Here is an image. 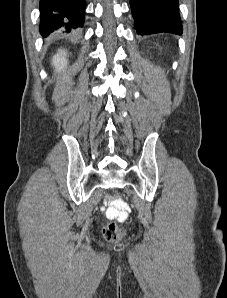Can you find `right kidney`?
Here are the masks:
<instances>
[{
    "label": "right kidney",
    "mask_w": 227,
    "mask_h": 298,
    "mask_svg": "<svg viewBox=\"0 0 227 298\" xmlns=\"http://www.w3.org/2000/svg\"><path fill=\"white\" fill-rule=\"evenodd\" d=\"M67 64L68 59L66 50H59L52 59V65L54 66L56 72L63 71L66 68Z\"/></svg>",
    "instance_id": "1"
}]
</instances>
